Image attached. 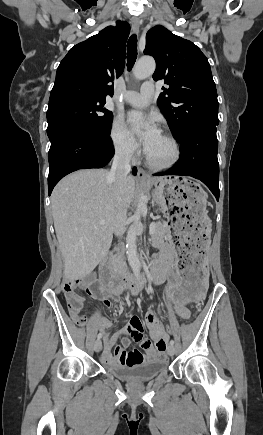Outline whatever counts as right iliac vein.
Returning <instances> with one entry per match:
<instances>
[{
	"label": "right iliac vein",
	"mask_w": 263,
	"mask_h": 435,
	"mask_svg": "<svg viewBox=\"0 0 263 435\" xmlns=\"http://www.w3.org/2000/svg\"><path fill=\"white\" fill-rule=\"evenodd\" d=\"M102 348V343L100 341V339L96 340L94 343V350L95 352H99Z\"/></svg>",
	"instance_id": "obj_1"
}]
</instances>
